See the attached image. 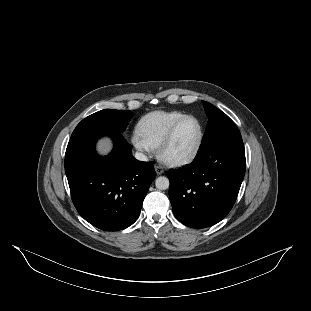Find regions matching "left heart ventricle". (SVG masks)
Segmentation results:
<instances>
[{
    "mask_svg": "<svg viewBox=\"0 0 311 311\" xmlns=\"http://www.w3.org/2000/svg\"><path fill=\"white\" fill-rule=\"evenodd\" d=\"M199 137V125L196 120L189 119L178 129L173 143L166 149L167 159L185 157L196 147Z\"/></svg>",
    "mask_w": 311,
    "mask_h": 311,
    "instance_id": "left-heart-ventricle-1",
    "label": "left heart ventricle"
}]
</instances>
